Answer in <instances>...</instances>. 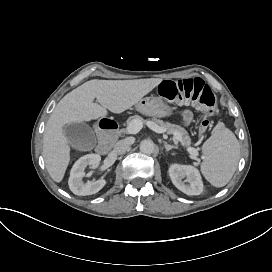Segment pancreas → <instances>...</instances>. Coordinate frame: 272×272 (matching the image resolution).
<instances>
[{
    "label": "pancreas",
    "mask_w": 272,
    "mask_h": 272,
    "mask_svg": "<svg viewBox=\"0 0 272 272\" xmlns=\"http://www.w3.org/2000/svg\"><path fill=\"white\" fill-rule=\"evenodd\" d=\"M133 119H139L141 120L144 124L147 122V120H144L142 117L135 115V116H131L128 118L127 120V124H130V122ZM152 121L154 123H156L157 125L166 128L167 132L170 134H173L174 132H178L181 136H182V145L185 147H189L191 145V139L188 135V132L181 126L179 125H175V124H171L169 122H164L163 120H159L156 118H153ZM125 132V130H123Z\"/></svg>",
    "instance_id": "cf45deb5"
}]
</instances>
